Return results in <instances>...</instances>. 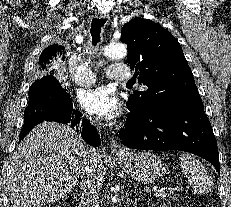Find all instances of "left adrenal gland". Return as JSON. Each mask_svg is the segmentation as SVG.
Returning a JSON list of instances; mask_svg holds the SVG:
<instances>
[{
  "mask_svg": "<svg viewBox=\"0 0 231 207\" xmlns=\"http://www.w3.org/2000/svg\"><path fill=\"white\" fill-rule=\"evenodd\" d=\"M139 199H140V198L135 199L134 202H132V201L130 202V200L127 199V204H128V206H130L131 204H133L134 207H137V203H138Z\"/></svg>",
  "mask_w": 231,
  "mask_h": 207,
  "instance_id": "1",
  "label": "left adrenal gland"
}]
</instances>
